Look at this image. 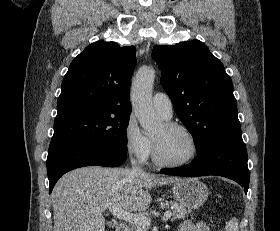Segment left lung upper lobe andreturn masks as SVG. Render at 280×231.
I'll use <instances>...</instances> for the list:
<instances>
[{
  "label": "left lung upper lobe",
  "mask_w": 280,
  "mask_h": 231,
  "mask_svg": "<svg viewBox=\"0 0 280 231\" xmlns=\"http://www.w3.org/2000/svg\"><path fill=\"white\" fill-rule=\"evenodd\" d=\"M161 85L192 134L196 148L215 139L241 134L230 76L198 40L154 46Z\"/></svg>",
  "instance_id": "1"
}]
</instances>
